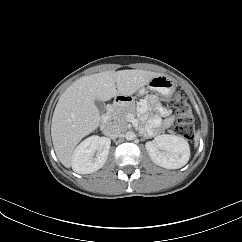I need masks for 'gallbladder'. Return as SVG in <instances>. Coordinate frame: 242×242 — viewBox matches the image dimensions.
Wrapping results in <instances>:
<instances>
[{
	"label": "gallbladder",
	"instance_id": "1",
	"mask_svg": "<svg viewBox=\"0 0 242 242\" xmlns=\"http://www.w3.org/2000/svg\"><path fill=\"white\" fill-rule=\"evenodd\" d=\"M95 105L97 107V109L101 112H104L105 111V103L103 101H100V100H95Z\"/></svg>",
	"mask_w": 242,
	"mask_h": 242
}]
</instances>
